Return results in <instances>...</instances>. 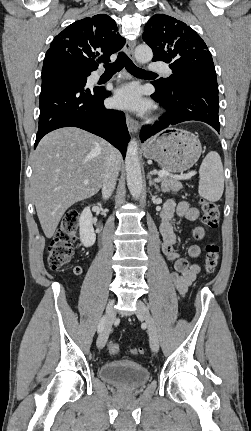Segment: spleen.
<instances>
[{
    "label": "spleen",
    "mask_w": 251,
    "mask_h": 431,
    "mask_svg": "<svg viewBox=\"0 0 251 431\" xmlns=\"http://www.w3.org/2000/svg\"><path fill=\"white\" fill-rule=\"evenodd\" d=\"M198 192L203 198L215 202L218 201L224 191L223 165L219 154L210 151L204 158L199 169Z\"/></svg>",
    "instance_id": "obj_1"
}]
</instances>
